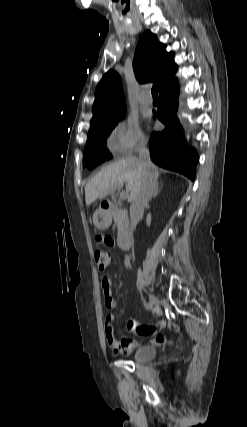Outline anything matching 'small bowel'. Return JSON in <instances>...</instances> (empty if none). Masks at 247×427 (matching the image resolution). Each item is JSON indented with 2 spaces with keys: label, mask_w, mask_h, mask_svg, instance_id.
Here are the masks:
<instances>
[{
  "label": "small bowel",
  "mask_w": 247,
  "mask_h": 427,
  "mask_svg": "<svg viewBox=\"0 0 247 427\" xmlns=\"http://www.w3.org/2000/svg\"><path fill=\"white\" fill-rule=\"evenodd\" d=\"M98 244L106 246L109 250L115 247V240L111 232H99L97 234ZM104 303L109 311L116 307V301L113 297L111 289V280L108 277L102 280ZM114 321V314L109 312L105 317V334L111 345L113 352L116 354H128L133 351L141 341H129L126 338L117 339L113 334L112 323ZM167 326V321L161 318L157 323L151 325H140L134 318H129L127 321V329L130 332L136 333L141 337V340L146 338H153L155 344H163L167 342V338L159 334V331ZM170 328L175 332L180 331L177 324H170Z\"/></svg>",
  "instance_id": "1"
}]
</instances>
